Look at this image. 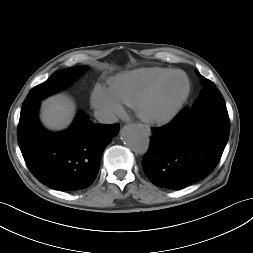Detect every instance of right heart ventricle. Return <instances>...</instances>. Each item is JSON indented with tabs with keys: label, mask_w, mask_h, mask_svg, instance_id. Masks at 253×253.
Returning <instances> with one entry per match:
<instances>
[{
	"label": "right heart ventricle",
	"mask_w": 253,
	"mask_h": 253,
	"mask_svg": "<svg viewBox=\"0 0 253 253\" xmlns=\"http://www.w3.org/2000/svg\"><path fill=\"white\" fill-rule=\"evenodd\" d=\"M172 72L160 67L139 68L113 78L109 89L121 104L135 107L155 84Z\"/></svg>",
	"instance_id": "right-heart-ventricle-1"
}]
</instances>
